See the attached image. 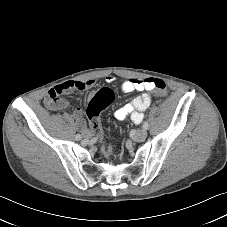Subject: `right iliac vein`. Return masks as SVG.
I'll list each match as a JSON object with an SVG mask.
<instances>
[{
  "instance_id": "right-iliac-vein-1",
  "label": "right iliac vein",
  "mask_w": 227,
  "mask_h": 227,
  "mask_svg": "<svg viewBox=\"0 0 227 227\" xmlns=\"http://www.w3.org/2000/svg\"><path fill=\"white\" fill-rule=\"evenodd\" d=\"M84 136H85L86 138H90V137H91V132H90V131H86V132L84 133Z\"/></svg>"
}]
</instances>
